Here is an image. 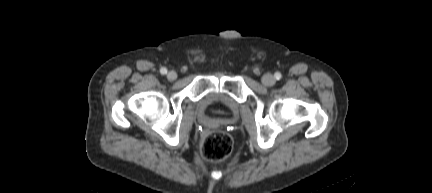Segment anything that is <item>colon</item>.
<instances>
[{
    "label": "colon",
    "instance_id": "1",
    "mask_svg": "<svg viewBox=\"0 0 432 193\" xmlns=\"http://www.w3.org/2000/svg\"><path fill=\"white\" fill-rule=\"evenodd\" d=\"M233 140L224 132H211L200 144L201 155L210 161H220L227 158L232 151Z\"/></svg>",
    "mask_w": 432,
    "mask_h": 193
}]
</instances>
